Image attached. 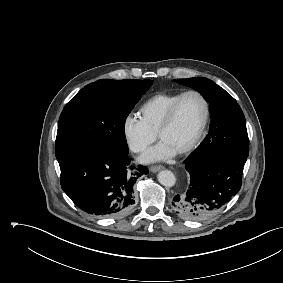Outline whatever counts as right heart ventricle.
<instances>
[{"label":"right heart ventricle","instance_id":"right-heart-ventricle-1","mask_svg":"<svg viewBox=\"0 0 283 283\" xmlns=\"http://www.w3.org/2000/svg\"><path fill=\"white\" fill-rule=\"evenodd\" d=\"M182 93L160 92L143 103L140 108L141 119L149 130L157 134L169 108Z\"/></svg>","mask_w":283,"mask_h":283}]
</instances>
